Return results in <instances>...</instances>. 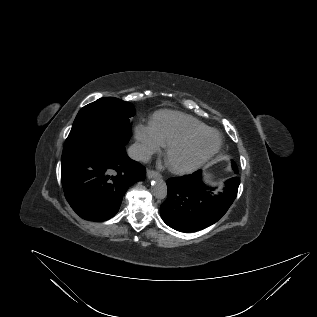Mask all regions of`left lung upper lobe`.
<instances>
[{"label":"left lung upper lobe","instance_id":"1","mask_svg":"<svg viewBox=\"0 0 317 317\" xmlns=\"http://www.w3.org/2000/svg\"><path fill=\"white\" fill-rule=\"evenodd\" d=\"M233 167H236L237 168V166H236V164L233 162Z\"/></svg>","mask_w":317,"mask_h":317}]
</instances>
